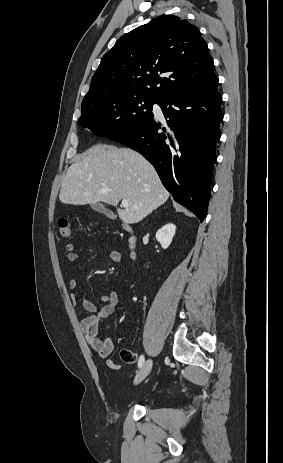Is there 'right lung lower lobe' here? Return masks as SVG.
I'll use <instances>...</instances> for the list:
<instances>
[{
	"label": "right lung lower lobe",
	"instance_id": "obj_1",
	"mask_svg": "<svg viewBox=\"0 0 283 463\" xmlns=\"http://www.w3.org/2000/svg\"><path fill=\"white\" fill-rule=\"evenodd\" d=\"M218 78L182 88L158 101L168 128L152 117L111 140L140 152L156 169L176 202L202 222L207 215L215 148L220 139L222 97Z\"/></svg>",
	"mask_w": 283,
	"mask_h": 463
}]
</instances>
